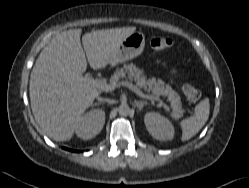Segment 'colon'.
Masks as SVG:
<instances>
[{
    "mask_svg": "<svg viewBox=\"0 0 249 188\" xmlns=\"http://www.w3.org/2000/svg\"><path fill=\"white\" fill-rule=\"evenodd\" d=\"M150 45L153 49L158 51L168 50L172 46V40L166 37H153L150 40ZM183 93L187 100L191 103H195L200 99V91L190 84H184L182 86Z\"/></svg>",
    "mask_w": 249,
    "mask_h": 188,
    "instance_id": "1",
    "label": "colon"
}]
</instances>
